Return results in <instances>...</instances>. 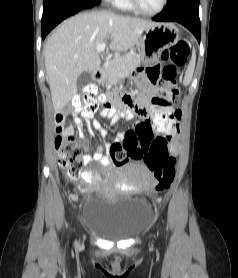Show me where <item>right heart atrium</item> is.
Segmentation results:
<instances>
[{"instance_id":"d8ad5b80","label":"right heart atrium","mask_w":238,"mask_h":278,"mask_svg":"<svg viewBox=\"0 0 238 278\" xmlns=\"http://www.w3.org/2000/svg\"><path fill=\"white\" fill-rule=\"evenodd\" d=\"M107 1H109V2H111V3H113V4H116V5H117V3H118V1H119V0H107Z\"/></svg>"}]
</instances>
